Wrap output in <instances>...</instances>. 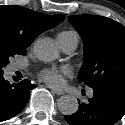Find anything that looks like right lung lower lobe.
Returning a JSON list of instances; mask_svg holds the SVG:
<instances>
[{
    "instance_id": "right-lung-lower-lobe-1",
    "label": "right lung lower lobe",
    "mask_w": 125,
    "mask_h": 125,
    "mask_svg": "<svg viewBox=\"0 0 125 125\" xmlns=\"http://www.w3.org/2000/svg\"><path fill=\"white\" fill-rule=\"evenodd\" d=\"M34 87L36 85L27 79L10 84L0 75V122L16 116L23 110L29 100L30 90Z\"/></svg>"
}]
</instances>
